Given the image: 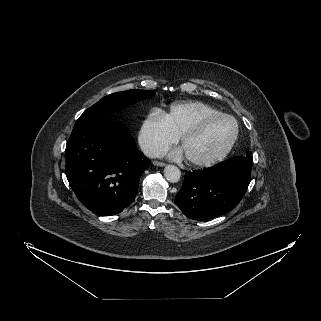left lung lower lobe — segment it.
Returning a JSON list of instances; mask_svg holds the SVG:
<instances>
[{
	"instance_id": "1",
	"label": "left lung lower lobe",
	"mask_w": 321,
	"mask_h": 321,
	"mask_svg": "<svg viewBox=\"0 0 321 321\" xmlns=\"http://www.w3.org/2000/svg\"><path fill=\"white\" fill-rule=\"evenodd\" d=\"M252 165L253 157H233L209 169L186 172L176 205L199 221L233 210L247 191Z\"/></svg>"
}]
</instances>
